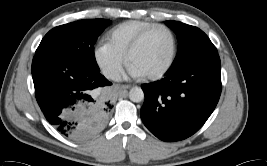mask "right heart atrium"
<instances>
[{
	"instance_id": "d8ad5b80",
	"label": "right heart atrium",
	"mask_w": 267,
	"mask_h": 166,
	"mask_svg": "<svg viewBox=\"0 0 267 166\" xmlns=\"http://www.w3.org/2000/svg\"><path fill=\"white\" fill-rule=\"evenodd\" d=\"M95 57L99 66L108 73L116 72L122 65L121 56L109 45L104 43L96 46Z\"/></svg>"
}]
</instances>
